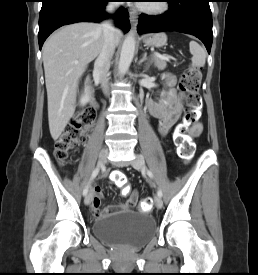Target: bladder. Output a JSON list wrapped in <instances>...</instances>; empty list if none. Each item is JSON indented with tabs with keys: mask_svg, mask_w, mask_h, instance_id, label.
<instances>
[{
	"mask_svg": "<svg viewBox=\"0 0 258 275\" xmlns=\"http://www.w3.org/2000/svg\"><path fill=\"white\" fill-rule=\"evenodd\" d=\"M92 230L99 239L139 247L155 236L156 221L146 214L125 211L97 218Z\"/></svg>",
	"mask_w": 258,
	"mask_h": 275,
	"instance_id": "1",
	"label": "bladder"
}]
</instances>
